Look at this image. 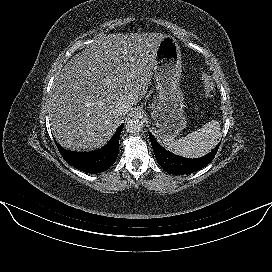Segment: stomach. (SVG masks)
<instances>
[{
  "instance_id": "stomach-1",
  "label": "stomach",
  "mask_w": 272,
  "mask_h": 272,
  "mask_svg": "<svg viewBox=\"0 0 272 272\" xmlns=\"http://www.w3.org/2000/svg\"><path fill=\"white\" fill-rule=\"evenodd\" d=\"M181 51L171 35L160 42L156 52L155 80L158 95L151 105V117L161 137L175 136L186 128L184 94L180 88Z\"/></svg>"
}]
</instances>
